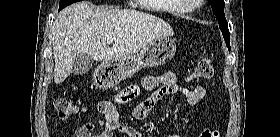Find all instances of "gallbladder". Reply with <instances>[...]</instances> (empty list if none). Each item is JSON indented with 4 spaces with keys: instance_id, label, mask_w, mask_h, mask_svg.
Listing matches in <instances>:
<instances>
[{
    "instance_id": "bac80fb5",
    "label": "gallbladder",
    "mask_w": 280,
    "mask_h": 137,
    "mask_svg": "<svg viewBox=\"0 0 280 137\" xmlns=\"http://www.w3.org/2000/svg\"><path fill=\"white\" fill-rule=\"evenodd\" d=\"M93 59L86 54H78L73 59L72 73L74 75H85L90 71Z\"/></svg>"
}]
</instances>
